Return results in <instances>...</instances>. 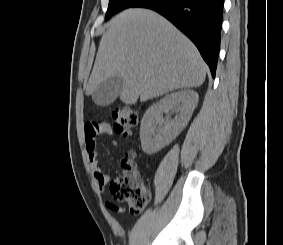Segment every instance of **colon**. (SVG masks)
<instances>
[{"label":"colon","mask_w":283,"mask_h":245,"mask_svg":"<svg viewBox=\"0 0 283 245\" xmlns=\"http://www.w3.org/2000/svg\"><path fill=\"white\" fill-rule=\"evenodd\" d=\"M112 118L114 131L123 136L130 135L138 123L137 112L129 105L115 108ZM121 164L124 171L112 181L110 191L115 200L126 202L132 212L139 213L149 200V189L136 170L132 153H129Z\"/></svg>","instance_id":"colon-1"}]
</instances>
